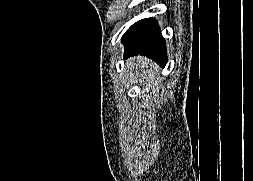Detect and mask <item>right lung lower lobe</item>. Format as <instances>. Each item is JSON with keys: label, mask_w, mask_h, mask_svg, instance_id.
Here are the masks:
<instances>
[{"label": "right lung lower lobe", "mask_w": 253, "mask_h": 181, "mask_svg": "<svg viewBox=\"0 0 253 181\" xmlns=\"http://www.w3.org/2000/svg\"><path fill=\"white\" fill-rule=\"evenodd\" d=\"M122 42L125 44L124 58L146 55L161 67H165L166 44L155 19H142L133 24L123 35Z\"/></svg>", "instance_id": "right-lung-lower-lobe-1"}]
</instances>
